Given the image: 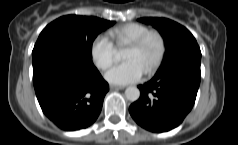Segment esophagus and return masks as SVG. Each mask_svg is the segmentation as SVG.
Listing matches in <instances>:
<instances>
[{
  "label": "esophagus",
  "mask_w": 238,
  "mask_h": 145,
  "mask_svg": "<svg viewBox=\"0 0 238 145\" xmlns=\"http://www.w3.org/2000/svg\"><path fill=\"white\" fill-rule=\"evenodd\" d=\"M110 89H112V90H121V89H125V86L110 85Z\"/></svg>",
  "instance_id": "1"
}]
</instances>
